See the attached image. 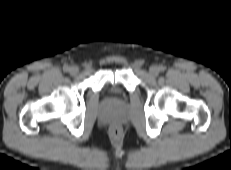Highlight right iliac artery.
<instances>
[{
  "label": "right iliac artery",
  "mask_w": 231,
  "mask_h": 170,
  "mask_svg": "<svg viewBox=\"0 0 231 170\" xmlns=\"http://www.w3.org/2000/svg\"><path fill=\"white\" fill-rule=\"evenodd\" d=\"M69 66H67V65H65L64 67H63V70L65 71V72H68L69 71Z\"/></svg>",
  "instance_id": "obj_1"
}]
</instances>
